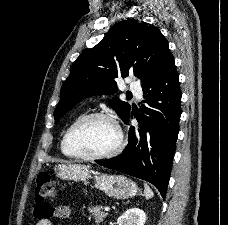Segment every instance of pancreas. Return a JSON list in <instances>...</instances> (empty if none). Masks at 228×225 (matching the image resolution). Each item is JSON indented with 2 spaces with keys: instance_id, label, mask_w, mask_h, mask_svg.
I'll return each instance as SVG.
<instances>
[{
  "instance_id": "1",
  "label": "pancreas",
  "mask_w": 228,
  "mask_h": 225,
  "mask_svg": "<svg viewBox=\"0 0 228 225\" xmlns=\"http://www.w3.org/2000/svg\"><path fill=\"white\" fill-rule=\"evenodd\" d=\"M88 211L95 217V223H97V225L102 223L104 217H107V213H102L101 207H89Z\"/></svg>"
}]
</instances>
